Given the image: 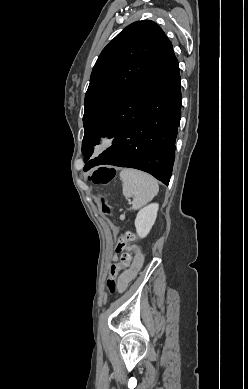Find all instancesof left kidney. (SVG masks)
Masks as SVG:
<instances>
[{
	"label": "left kidney",
	"instance_id": "left-kidney-1",
	"mask_svg": "<svg viewBox=\"0 0 248 389\" xmlns=\"http://www.w3.org/2000/svg\"><path fill=\"white\" fill-rule=\"evenodd\" d=\"M158 208L159 205L153 203L138 212L135 219V227L139 237L144 238L150 232L157 218Z\"/></svg>",
	"mask_w": 248,
	"mask_h": 389
}]
</instances>
